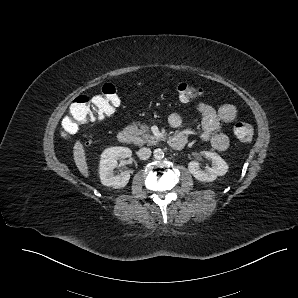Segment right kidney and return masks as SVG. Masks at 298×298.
<instances>
[{"instance_id": "ca27d5eb", "label": "right kidney", "mask_w": 298, "mask_h": 298, "mask_svg": "<svg viewBox=\"0 0 298 298\" xmlns=\"http://www.w3.org/2000/svg\"><path fill=\"white\" fill-rule=\"evenodd\" d=\"M132 151L126 147L111 146L102 150L99 160V178L103 185L107 187H124L130 178L128 172L115 174L113 169L117 167V159L129 158Z\"/></svg>"}]
</instances>
